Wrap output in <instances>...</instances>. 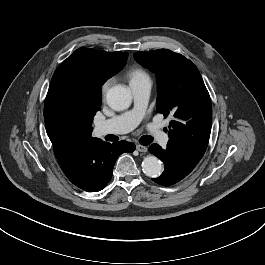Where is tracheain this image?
Wrapping results in <instances>:
<instances>
[{"mask_svg":"<svg viewBox=\"0 0 265 265\" xmlns=\"http://www.w3.org/2000/svg\"><path fill=\"white\" fill-rule=\"evenodd\" d=\"M139 141L142 145H149L150 143H152L153 139L150 136L146 135L142 136Z\"/></svg>","mask_w":265,"mask_h":265,"instance_id":"obj_1","label":"trachea"}]
</instances>
